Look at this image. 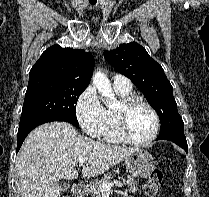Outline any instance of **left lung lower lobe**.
Here are the masks:
<instances>
[{"label":"left lung lower lobe","instance_id":"obj_1","mask_svg":"<svg viewBox=\"0 0 209 197\" xmlns=\"http://www.w3.org/2000/svg\"><path fill=\"white\" fill-rule=\"evenodd\" d=\"M156 140H169L182 147L186 152L188 151V145L183 129L170 130L163 134H159Z\"/></svg>","mask_w":209,"mask_h":197}]
</instances>
